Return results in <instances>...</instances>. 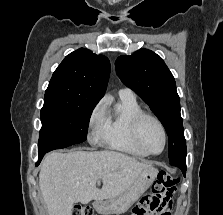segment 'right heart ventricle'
<instances>
[{
	"label": "right heart ventricle",
	"instance_id": "1",
	"mask_svg": "<svg viewBox=\"0 0 223 215\" xmlns=\"http://www.w3.org/2000/svg\"><path fill=\"white\" fill-rule=\"evenodd\" d=\"M143 110L134 96H121L114 110H105V125L98 133L97 140L109 148L143 156L133 141L132 126L135 118Z\"/></svg>",
	"mask_w": 223,
	"mask_h": 215
}]
</instances>
